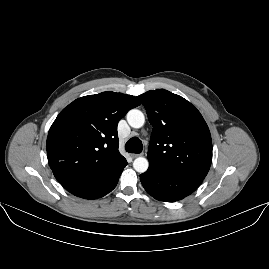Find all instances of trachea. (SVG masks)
Masks as SVG:
<instances>
[{
  "label": "trachea",
  "instance_id": "trachea-1",
  "mask_svg": "<svg viewBox=\"0 0 269 269\" xmlns=\"http://www.w3.org/2000/svg\"><path fill=\"white\" fill-rule=\"evenodd\" d=\"M125 149L129 153L139 154L143 150V144L138 137H132L126 142Z\"/></svg>",
  "mask_w": 269,
  "mask_h": 269
}]
</instances>
